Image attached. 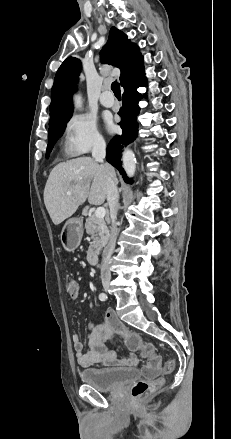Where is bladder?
Returning a JSON list of instances; mask_svg holds the SVG:
<instances>
[{"label": "bladder", "instance_id": "1", "mask_svg": "<svg viewBox=\"0 0 231 439\" xmlns=\"http://www.w3.org/2000/svg\"><path fill=\"white\" fill-rule=\"evenodd\" d=\"M79 375L84 384L100 391H111L136 380L139 371L134 368L86 369Z\"/></svg>", "mask_w": 231, "mask_h": 439}]
</instances>
